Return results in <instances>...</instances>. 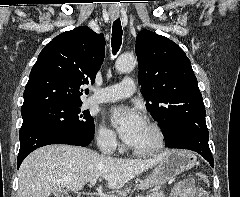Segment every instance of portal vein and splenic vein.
Wrapping results in <instances>:
<instances>
[{"label":"portal vein and splenic vein","mask_w":240,"mask_h":197,"mask_svg":"<svg viewBox=\"0 0 240 197\" xmlns=\"http://www.w3.org/2000/svg\"><path fill=\"white\" fill-rule=\"evenodd\" d=\"M96 181H97L96 178L91 179L90 180V185H92V186L95 185Z\"/></svg>","instance_id":"18ae733b"}]
</instances>
